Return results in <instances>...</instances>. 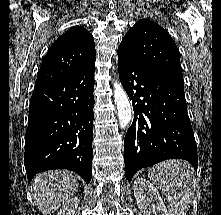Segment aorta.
<instances>
[{"instance_id":"obj_1","label":"aorta","mask_w":221,"mask_h":215,"mask_svg":"<svg viewBox=\"0 0 221 215\" xmlns=\"http://www.w3.org/2000/svg\"><path fill=\"white\" fill-rule=\"evenodd\" d=\"M113 86L114 101L117 106L119 125L121 128H126L132 120L131 104L122 85L118 81H115Z\"/></svg>"}]
</instances>
